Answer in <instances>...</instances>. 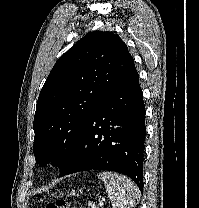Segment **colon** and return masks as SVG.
Returning <instances> with one entry per match:
<instances>
[{
  "instance_id": "obj_1",
  "label": "colon",
  "mask_w": 199,
  "mask_h": 208,
  "mask_svg": "<svg viewBox=\"0 0 199 208\" xmlns=\"http://www.w3.org/2000/svg\"><path fill=\"white\" fill-rule=\"evenodd\" d=\"M45 208H73L72 204L64 199H57L47 204Z\"/></svg>"
}]
</instances>
